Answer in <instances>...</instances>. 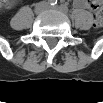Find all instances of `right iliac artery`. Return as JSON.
I'll return each instance as SVG.
<instances>
[{
    "label": "right iliac artery",
    "mask_w": 103,
    "mask_h": 103,
    "mask_svg": "<svg viewBox=\"0 0 103 103\" xmlns=\"http://www.w3.org/2000/svg\"><path fill=\"white\" fill-rule=\"evenodd\" d=\"M48 4L51 5V6H54V5L57 4V0H49Z\"/></svg>",
    "instance_id": "obj_1"
}]
</instances>
